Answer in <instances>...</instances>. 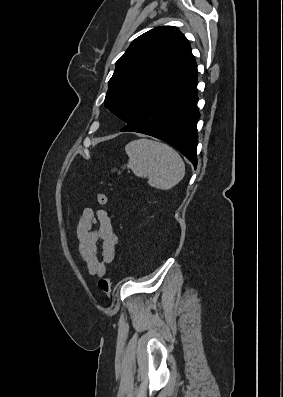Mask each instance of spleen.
<instances>
[{
	"mask_svg": "<svg viewBox=\"0 0 283 397\" xmlns=\"http://www.w3.org/2000/svg\"><path fill=\"white\" fill-rule=\"evenodd\" d=\"M125 151L127 167L135 176L148 178L151 187L169 190L185 175L181 156L167 144L142 138L129 142Z\"/></svg>",
	"mask_w": 283,
	"mask_h": 397,
	"instance_id": "spleen-1",
	"label": "spleen"
}]
</instances>
